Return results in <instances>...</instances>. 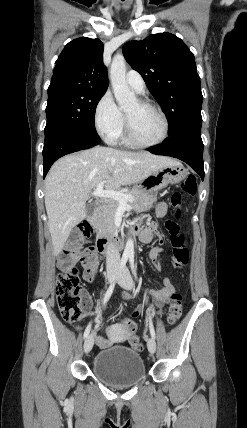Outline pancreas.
I'll return each mask as SVG.
<instances>
[{"mask_svg":"<svg viewBox=\"0 0 247 428\" xmlns=\"http://www.w3.org/2000/svg\"><path fill=\"white\" fill-rule=\"evenodd\" d=\"M124 194L131 195L134 200L129 202L131 208L136 212H141L148 209L156 199V194H150L145 189L134 186L130 190L123 191ZM119 202L114 199H109L103 208L99 211L96 218V229L99 232H104L107 229H115L114 218Z\"/></svg>","mask_w":247,"mask_h":428,"instance_id":"pancreas-1","label":"pancreas"}]
</instances>
